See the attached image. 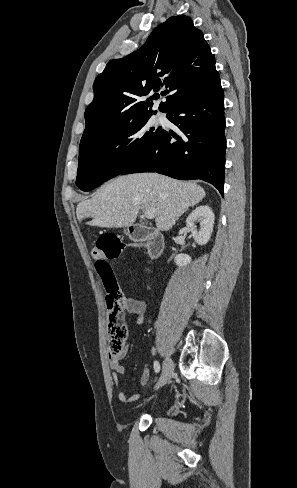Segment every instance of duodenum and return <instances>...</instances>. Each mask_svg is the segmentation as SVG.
<instances>
[{"label": "duodenum", "mask_w": 297, "mask_h": 488, "mask_svg": "<svg viewBox=\"0 0 297 488\" xmlns=\"http://www.w3.org/2000/svg\"><path fill=\"white\" fill-rule=\"evenodd\" d=\"M129 235L135 242H144L147 245V254L150 259H157L164 249L163 236L152 228L134 224L129 227Z\"/></svg>", "instance_id": "duodenum-1"}]
</instances>
